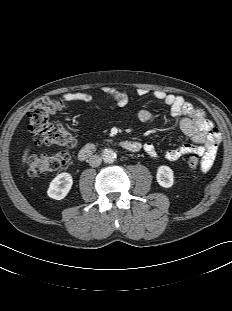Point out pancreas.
<instances>
[{"label":"pancreas","instance_id":"cf45deb5","mask_svg":"<svg viewBox=\"0 0 232 311\" xmlns=\"http://www.w3.org/2000/svg\"><path fill=\"white\" fill-rule=\"evenodd\" d=\"M106 141H107V142H110L111 140H110V139H107Z\"/></svg>","mask_w":232,"mask_h":311}]
</instances>
